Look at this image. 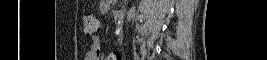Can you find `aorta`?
<instances>
[{"label":"aorta","mask_w":267,"mask_h":60,"mask_svg":"<svg viewBox=\"0 0 267 60\" xmlns=\"http://www.w3.org/2000/svg\"><path fill=\"white\" fill-rule=\"evenodd\" d=\"M124 17H125V9H124V11H122L121 14L119 15V21H118V26H117V32L121 29V27H122V25H123Z\"/></svg>","instance_id":"1"}]
</instances>
